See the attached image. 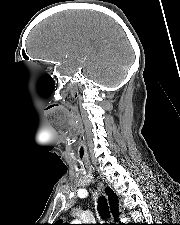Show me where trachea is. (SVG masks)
<instances>
[{
	"mask_svg": "<svg viewBox=\"0 0 180 225\" xmlns=\"http://www.w3.org/2000/svg\"><path fill=\"white\" fill-rule=\"evenodd\" d=\"M98 211L103 220L109 217V207L104 197L98 199Z\"/></svg>",
	"mask_w": 180,
	"mask_h": 225,
	"instance_id": "trachea-1",
	"label": "trachea"
}]
</instances>
